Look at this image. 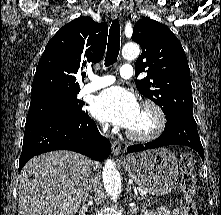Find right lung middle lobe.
<instances>
[{
	"mask_svg": "<svg viewBox=\"0 0 221 215\" xmlns=\"http://www.w3.org/2000/svg\"><path fill=\"white\" fill-rule=\"evenodd\" d=\"M77 95L78 92L55 94L31 101L26 122L47 117L67 120L83 118L88 113L82 110L84 103L77 99Z\"/></svg>",
	"mask_w": 221,
	"mask_h": 215,
	"instance_id": "dd1d6c3e",
	"label": "right lung middle lobe"
}]
</instances>
